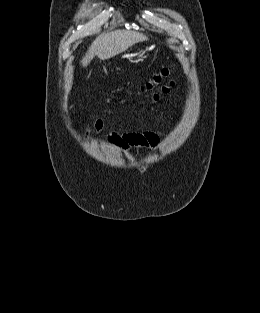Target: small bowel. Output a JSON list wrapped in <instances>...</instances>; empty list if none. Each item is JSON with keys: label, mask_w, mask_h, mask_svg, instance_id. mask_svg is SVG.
Returning a JSON list of instances; mask_svg holds the SVG:
<instances>
[{"label": "small bowel", "mask_w": 260, "mask_h": 313, "mask_svg": "<svg viewBox=\"0 0 260 313\" xmlns=\"http://www.w3.org/2000/svg\"><path fill=\"white\" fill-rule=\"evenodd\" d=\"M103 127V121L101 119H96L91 126L85 128L83 140H88L91 129H94L97 133H101ZM107 141L112 148L122 153L132 147L146 151L157 149L160 146L159 136L155 132L149 130L127 132L113 131L107 136Z\"/></svg>", "instance_id": "1"}]
</instances>
